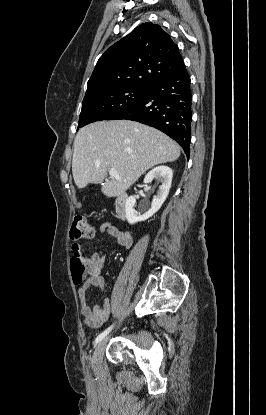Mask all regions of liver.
Wrapping results in <instances>:
<instances>
[{
  "label": "liver",
  "instance_id": "liver-1",
  "mask_svg": "<svg viewBox=\"0 0 266 415\" xmlns=\"http://www.w3.org/2000/svg\"><path fill=\"white\" fill-rule=\"evenodd\" d=\"M179 156V145L157 129L130 120L98 121L78 131L72 173L82 189L102 183L107 172L115 169L120 179L104 183L101 190L107 197H116L150 168Z\"/></svg>",
  "mask_w": 266,
  "mask_h": 415
}]
</instances>
